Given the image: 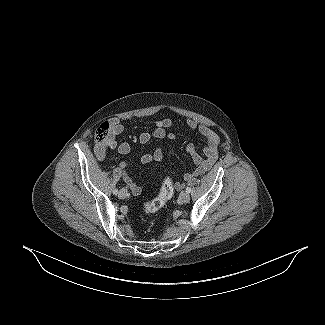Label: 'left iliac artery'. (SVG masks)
Wrapping results in <instances>:
<instances>
[{"label":"left iliac artery","mask_w":325,"mask_h":325,"mask_svg":"<svg viewBox=\"0 0 325 325\" xmlns=\"http://www.w3.org/2000/svg\"><path fill=\"white\" fill-rule=\"evenodd\" d=\"M186 192H187V193H190V192H191V188H190V187H187V188H186Z\"/></svg>","instance_id":"44dca946"}]
</instances>
